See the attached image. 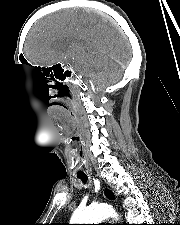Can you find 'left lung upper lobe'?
Returning a JSON list of instances; mask_svg holds the SVG:
<instances>
[{
    "label": "left lung upper lobe",
    "instance_id": "left-lung-upper-lobe-1",
    "mask_svg": "<svg viewBox=\"0 0 180 225\" xmlns=\"http://www.w3.org/2000/svg\"><path fill=\"white\" fill-rule=\"evenodd\" d=\"M106 196L108 197V198H110V199H113L114 197H113V195H112V193L111 192H109L108 190H106ZM55 225H63V224H55Z\"/></svg>",
    "mask_w": 180,
    "mask_h": 225
}]
</instances>
